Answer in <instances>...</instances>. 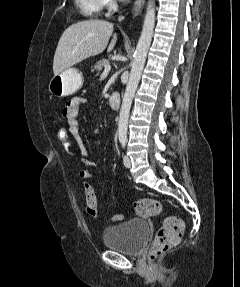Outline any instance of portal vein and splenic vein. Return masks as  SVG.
<instances>
[{
  "mask_svg": "<svg viewBox=\"0 0 240 287\" xmlns=\"http://www.w3.org/2000/svg\"><path fill=\"white\" fill-rule=\"evenodd\" d=\"M110 70H111V66L110 65H106L105 67H104V71H103V73H102V77L103 76H106V75H108V73L110 72Z\"/></svg>",
  "mask_w": 240,
  "mask_h": 287,
  "instance_id": "18ae733b",
  "label": "portal vein and splenic vein"
}]
</instances>
